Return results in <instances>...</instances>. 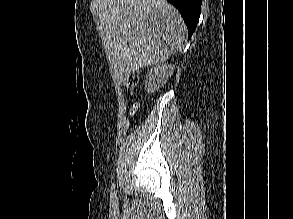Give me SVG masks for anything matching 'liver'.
<instances>
[{"label": "liver", "instance_id": "liver-1", "mask_svg": "<svg viewBox=\"0 0 293 219\" xmlns=\"http://www.w3.org/2000/svg\"><path fill=\"white\" fill-rule=\"evenodd\" d=\"M97 15L114 78L120 82L139 68L164 63L187 31L166 0H100Z\"/></svg>", "mask_w": 293, "mask_h": 219}]
</instances>
